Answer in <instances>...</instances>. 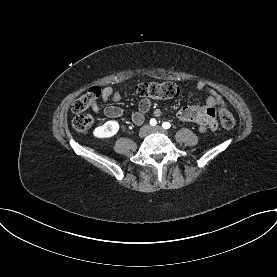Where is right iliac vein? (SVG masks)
<instances>
[{
	"label": "right iliac vein",
	"instance_id": "63e3f726",
	"mask_svg": "<svg viewBox=\"0 0 277 277\" xmlns=\"http://www.w3.org/2000/svg\"><path fill=\"white\" fill-rule=\"evenodd\" d=\"M149 132H150V127L149 126H143L139 131V136L140 137H145V136L148 135Z\"/></svg>",
	"mask_w": 277,
	"mask_h": 277
}]
</instances>
